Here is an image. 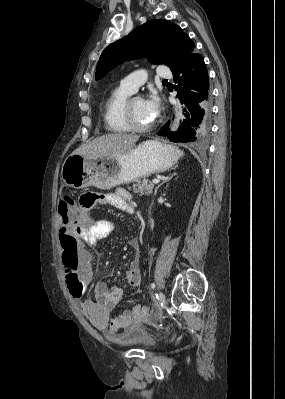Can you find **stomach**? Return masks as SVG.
<instances>
[{
    "instance_id": "0dacf381",
    "label": "stomach",
    "mask_w": 285,
    "mask_h": 399,
    "mask_svg": "<svg viewBox=\"0 0 285 399\" xmlns=\"http://www.w3.org/2000/svg\"><path fill=\"white\" fill-rule=\"evenodd\" d=\"M177 160L175 149L158 141H146L117 156L90 158L72 153L62 165L61 179L66 186L75 189L91 185L110 189L167 171Z\"/></svg>"
}]
</instances>
